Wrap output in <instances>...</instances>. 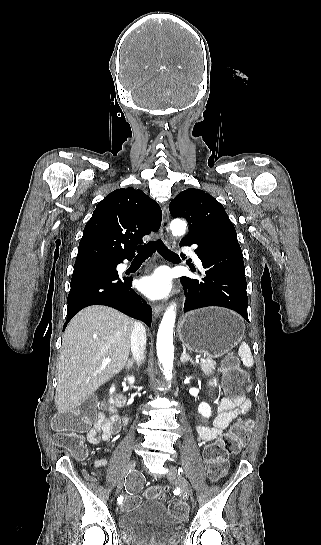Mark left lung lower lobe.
Instances as JSON below:
<instances>
[{"label":"left lung lower lobe","instance_id":"1","mask_svg":"<svg viewBox=\"0 0 321 545\" xmlns=\"http://www.w3.org/2000/svg\"><path fill=\"white\" fill-rule=\"evenodd\" d=\"M197 244L195 253L206 269L201 280L181 277L187 291L184 312L221 306L239 313L247 322V284L242 251L236 233H215L181 241L180 246ZM185 259V256L181 254Z\"/></svg>","mask_w":321,"mask_h":545}]
</instances>
